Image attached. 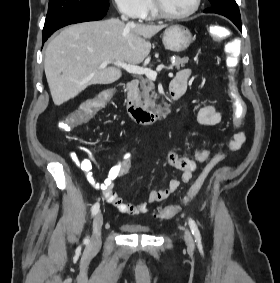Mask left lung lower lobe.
I'll return each mask as SVG.
<instances>
[{
    "instance_id": "left-lung-lower-lobe-1",
    "label": "left lung lower lobe",
    "mask_w": 280,
    "mask_h": 283,
    "mask_svg": "<svg viewBox=\"0 0 280 283\" xmlns=\"http://www.w3.org/2000/svg\"><path fill=\"white\" fill-rule=\"evenodd\" d=\"M231 21L237 26V28L239 30L242 31V26H241V22L240 21H238V20H231Z\"/></svg>"
}]
</instances>
